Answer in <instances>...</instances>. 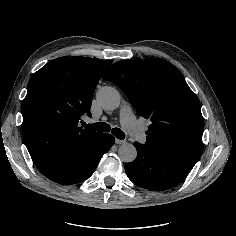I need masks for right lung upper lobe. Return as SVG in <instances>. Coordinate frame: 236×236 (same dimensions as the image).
I'll return each mask as SVG.
<instances>
[{
	"mask_svg": "<svg viewBox=\"0 0 236 236\" xmlns=\"http://www.w3.org/2000/svg\"><path fill=\"white\" fill-rule=\"evenodd\" d=\"M112 63L87 57H61L32 75L22 102V137L29 154L48 176L79 143L97 135L78 126L89 112L97 82Z\"/></svg>",
	"mask_w": 236,
	"mask_h": 236,
	"instance_id": "obj_1",
	"label": "right lung upper lobe"
}]
</instances>
